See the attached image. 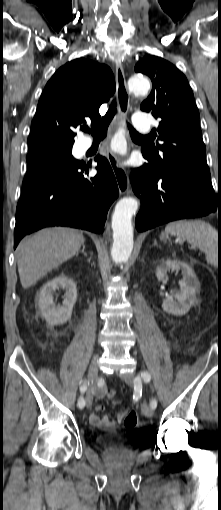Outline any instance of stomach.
Masks as SVG:
<instances>
[{"label": "stomach", "mask_w": 221, "mask_h": 510, "mask_svg": "<svg viewBox=\"0 0 221 510\" xmlns=\"http://www.w3.org/2000/svg\"><path fill=\"white\" fill-rule=\"evenodd\" d=\"M166 237H167V235L165 233H162L160 236L161 239H165Z\"/></svg>", "instance_id": "stomach-1"}]
</instances>
